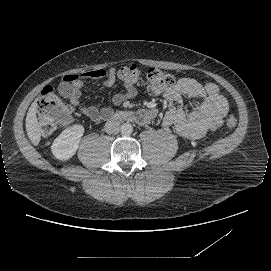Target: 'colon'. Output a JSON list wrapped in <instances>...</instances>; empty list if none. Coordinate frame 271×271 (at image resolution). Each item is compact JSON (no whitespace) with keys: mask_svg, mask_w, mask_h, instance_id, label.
I'll list each match as a JSON object with an SVG mask.
<instances>
[{"mask_svg":"<svg viewBox=\"0 0 271 271\" xmlns=\"http://www.w3.org/2000/svg\"><path fill=\"white\" fill-rule=\"evenodd\" d=\"M122 83L136 87L140 81V72L135 64L125 66L118 72ZM147 90L152 95H158L172 88L174 79L170 74L159 69L151 68L146 76ZM71 120V109L62 102L52 86H46L37 101V121L40 131L48 136L59 127L66 126ZM226 125L230 129L236 127V119L229 116Z\"/></svg>","mask_w":271,"mask_h":271,"instance_id":"1","label":"colon"}]
</instances>
